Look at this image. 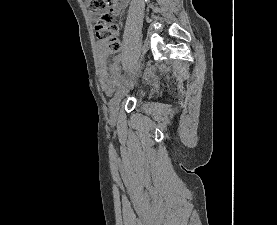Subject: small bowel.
<instances>
[{"instance_id": "small-bowel-1", "label": "small bowel", "mask_w": 277, "mask_h": 225, "mask_svg": "<svg viewBox=\"0 0 277 225\" xmlns=\"http://www.w3.org/2000/svg\"><path fill=\"white\" fill-rule=\"evenodd\" d=\"M127 0H118L113 7L114 13L121 12L126 6ZM123 54L115 56L111 63L108 64V56L103 52L98 54V75L100 84L105 92H110L112 89L119 86L120 81L124 80L121 73V63Z\"/></svg>"}]
</instances>
